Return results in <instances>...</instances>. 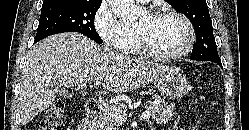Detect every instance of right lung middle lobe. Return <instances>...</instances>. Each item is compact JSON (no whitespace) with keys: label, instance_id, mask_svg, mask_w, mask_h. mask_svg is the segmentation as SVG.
<instances>
[{"label":"right lung middle lobe","instance_id":"obj_1","mask_svg":"<svg viewBox=\"0 0 249 130\" xmlns=\"http://www.w3.org/2000/svg\"><path fill=\"white\" fill-rule=\"evenodd\" d=\"M101 2L60 0L42 5L39 26L34 42L63 32H79L96 43L102 39L94 26L96 11Z\"/></svg>","mask_w":249,"mask_h":130}]
</instances>
